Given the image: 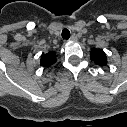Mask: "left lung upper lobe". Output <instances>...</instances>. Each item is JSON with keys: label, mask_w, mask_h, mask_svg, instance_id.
Listing matches in <instances>:
<instances>
[{"label": "left lung upper lobe", "mask_w": 127, "mask_h": 127, "mask_svg": "<svg viewBox=\"0 0 127 127\" xmlns=\"http://www.w3.org/2000/svg\"><path fill=\"white\" fill-rule=\"evenodd\" d=\"M91 60L99 66H105L107 62V57L103 50L93 48L91 50Z\"/></svg>", "instance_id": "obj_1"}]
</instances>
